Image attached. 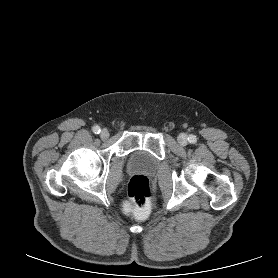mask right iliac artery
Here are the masks:
<instances>
[{"label":"right iliac artery","mask_w":278,"mask_h":278,"mask_svg":"<svg viewBox=\"0 0 278 278\" xmlns=\"http://www.w3.org/2000/svg\"><path fill=\"white\" fill-rule=\"evenodd\" d=\"M93 132H94L95 134H99V133H100V127H99V126H94V127H93Z\"/></svg>","instance_id":"obj_1"}]
</instances>
